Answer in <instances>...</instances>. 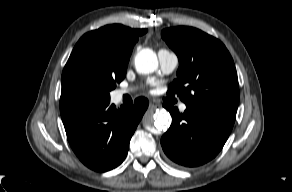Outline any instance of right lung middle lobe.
<instances>
[{
    "instance_id": "dd1d6c3e",
    "label": "right lung middle lobe",
    "mask_w": 292,
    "mask_h": 192,
    "mask_svg": "<svg viewBox=\"0 0 292 192\" xmlns=\"http://www.w3.org/2000/svg\"><path fill=\"white\" fill-rule=\"evenodd\" d=\"M125 75L126 70L115 68L93 47L76 45L62 73L60 101L107 102L109 92Z\"/></svg>"
}]
</instances>
